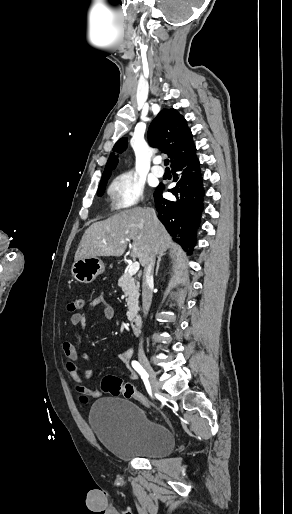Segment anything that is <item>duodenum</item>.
<instances>
[{"mask_svg":"<svg viewBox=\"0 0 292 514\" xmlns=\"http://www.w3.org/2000/svg\"><path fill=\"white\" fill-rule=\"evenodd\" d=\"M141 320L138 316H134L130 320V328L133 334H137L140 330Z\"/></svg>","mask_w":292,"mask_h":514,"instance_id":"410a0bca","label":"duodenum"}]
</instances>
